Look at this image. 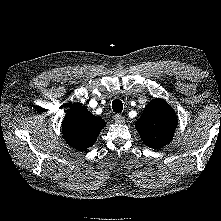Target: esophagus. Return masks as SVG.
Returning a JSON list of instances; mask_svg holds the SVG:
<instances>
[{
    "mask_svg": "<svg viewBox=\"0 0 221 221\" xmlns=\"http://www.w3.org/2000/svg\"><path fill=\"white\" fill-rule=\"evenodd\" d=\"M114 120L116 123H124L125 122V117L121 114H116L114 116Z\"/></svg>",
    "mask_w": 221,
    "mask_h": 221,
    "instance_id": "obj_1",
    "label": "esophagus"
}]
</instances>
